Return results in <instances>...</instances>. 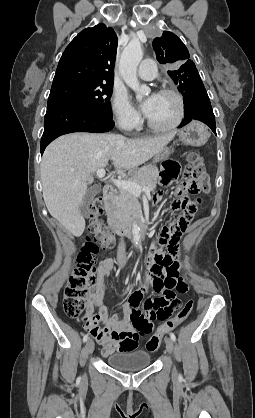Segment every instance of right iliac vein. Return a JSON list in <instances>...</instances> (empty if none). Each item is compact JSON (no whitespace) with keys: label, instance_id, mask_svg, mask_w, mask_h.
Here are the masks:
<instances>
[{"label":"right iliac vein","instance_id":"1","mask_svg":"<svg viewBox=\"0 0 255 418\" xmlns=\"http://www.w3.org/2000/svg\"><path fill=\"white\" fill-rule=\"evenodd\" d=\"M85 350L87 354H92L94 351V341L92 339H88L86 341Z\"/></svg>","mask_w":255,"mask_h":418}]
</instances>
